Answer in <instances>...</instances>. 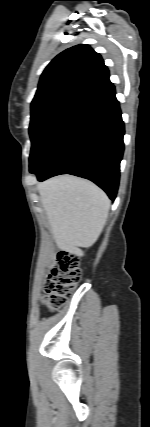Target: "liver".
Masks as SVG:
<instances>
[{"instance_id":"obj_1","label":"liver","mask_w":150,"mask_h":427,"mask_svg":"<svg viewBox=\"0 0 150 427\" xmlns=\"http://www.w3.org/2000/svg\"><path fill=\"white\" fill-rule=\"evenodd\" d=\"M42 206L59 249L79 253L92 246L107 221L110 200L92 182L57 176L38 184Z\"/></svg>"}]
</instances>
